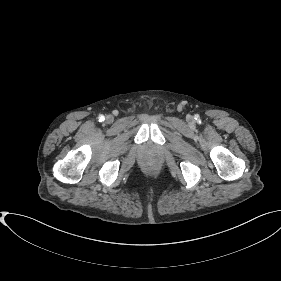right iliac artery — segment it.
<instances>
[{"instance_id": "obj_1", "label": "right iliac artery", "mask_w": 281, "mask_h": 281, "mask_svg": "<svg viewBox=\"0 0 281 281\" xmlns=\"http://www.w3.org/2000/svg\"><path fill=\"white\" fill-rule=\"evenodd\" d=\"M98 118H99L100 122L104 121V116L103 115H100Z\"/></svg>"}]
</instances>
